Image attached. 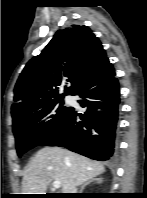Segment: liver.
Returning a JSON list of instances; mask_svg holds the SVG:
<instances>
[{"label": "liver", "mask_w": 147, "mask_h": 198, "mask_svg": "<svg viewBox=\"0 0 147 198\" xmlns=\"http://www.w3.org/2000/svg\"><path fill=\"white\" fill-rule=\"evenodd\" d=\"M98 161L60 147H44L30 160L22 179V194H46L48 185L61 181L62 193L104 173Z\"/></svg>", "instance_id": "1"}]
</instances>
